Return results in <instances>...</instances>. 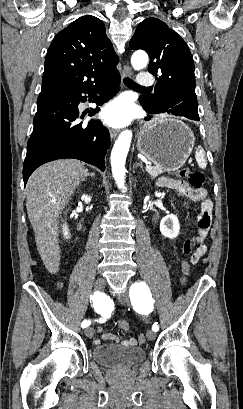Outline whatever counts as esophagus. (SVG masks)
<instances>
[{
    "label": "esophagus",
    "instance_id": "esophagus-1",
    "mask_svg": "<svg viewBox=\"0 0 243 409\" xmlns=\"http://www.w3.org/2000/svg\"><path fill=\"white\" fill-rule=\"evenodd\" d=\"M131 74H132L131 68L129 67V65L125 64L122 71V77H129L131 76ZM118 133H119L118 130L115 129L110 130V135L112 138L117 137Z\"/></svg>",
    "mask_w": 243,
    "mask_h": 409
}]
</instances>
